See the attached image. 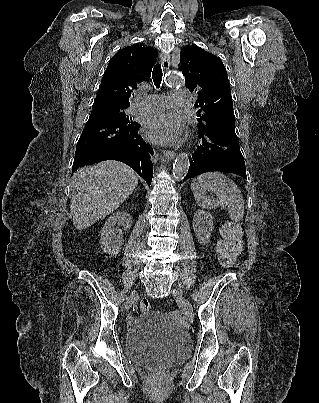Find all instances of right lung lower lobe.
I'll return each instance as SVG.
<instances>
[{"instance_id":"98d812e1","label":"right lung lower lobe","mask_w":319,"mask_h":403,"mask_svg":"<svg viewBox=\"0 0 319 403\" xmlns=\"http://www.w3.org/2000/svg\"><path fill=\"white\" fill-rule=\"evenodd\" d=\"M140 124L112 120H88L76 147L72 171L104 160L132 167L150 185L153 176L152 147L138 133Z\"/></svg>"}]
</instances>
